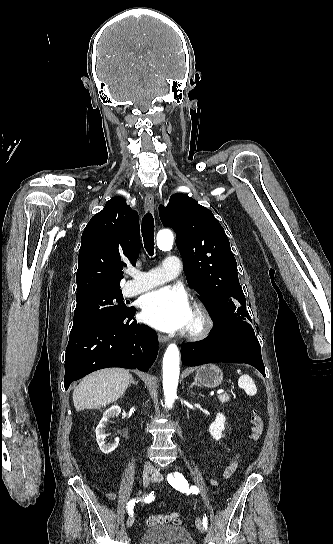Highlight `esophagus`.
Masks as SVG:
<instances>
[{"instance_id": "1", "label": "esophagus", "mask_w": 333, "mask_h": 544, "mask_svg": "<svg viewBox=\"0 0 333 544\" xmlns=\"http://www.w3.org/2000/svg\"><path fill=\"white\" fill-rule=\"evenodd\" d=\"M145 207L151 211L154 210L155 203H154V196L151 193H146L145 199H144ZM158 340L162 343H166L169 341V338L165 335L158 334Z\"/></svg>"}]
</instances>
